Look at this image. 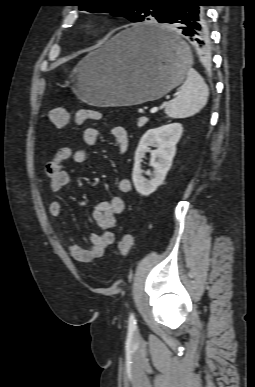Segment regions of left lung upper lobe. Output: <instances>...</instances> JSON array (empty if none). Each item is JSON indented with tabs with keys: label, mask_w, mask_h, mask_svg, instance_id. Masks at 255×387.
Here are the masks:
<instances>
[{
	"label": "left lung upper lobe",
	"mask_w": 255,
	"mask_h": 387,
	"mask_svg": "<svg viewBox=\"0 0 255 387\" xmlns=\"http://www.w3.org/2000/svg\"><path fill=\"white\" fill-rule=\"evenodd\" d=\"M181 0H77L80 10L87 12H110L132 22H142L154 17L163 23L167 8L172 2Z\"/></svg>",
	"instance_id": "1"
}]
</instances>
